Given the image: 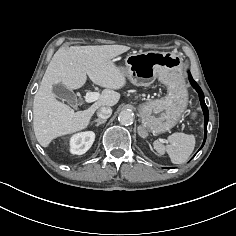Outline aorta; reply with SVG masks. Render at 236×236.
Listing matches in <instances>:
<instances>
[{"label":"aorta","instance_id":"aorta-1","mask_svg":"<svg viewBox=\"0 0 236 236\" xmlns=\"http://www.w3.org/2000/svg\"><path fill=\"white\" fill-rule=\"evenodd\" d=\"M118 120L123 125H131L134 121V114L131 110H123L119 113Z\"/></svg>","mask_w":236,"mask_h":236}]
</instances>
